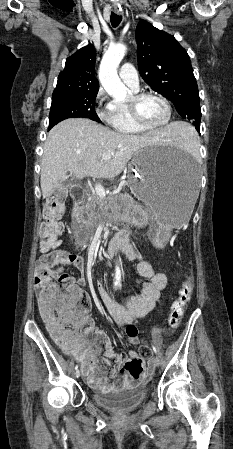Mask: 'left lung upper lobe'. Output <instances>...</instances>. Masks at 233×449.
<instances>
[{
	"instance_id": "1",
	"label": "left lung upper lobe",
	"mask_w": 233,
	"mask_h": 449,
	"mask_svg": "<svg viewBox=\"0 0 233 449\" xmlns=\"http://www.w3.org/2000/svg\"><path fill=\"white\" fill-rule=\"evenodd\" d=\"M139 72L156 92L172 101L182 118L200 131L201 111L189 55L174 36L140 21L136 28Z\"/></svg>"
}]
</instances>
